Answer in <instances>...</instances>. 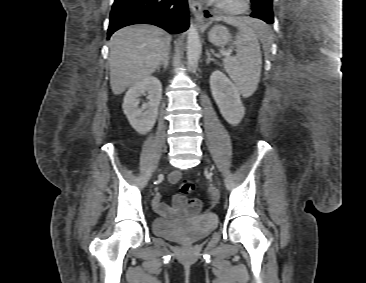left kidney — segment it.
<instances>
[{
    "label": "left kidney",
    "instance_id": "left-kidney-1",
    "mask_svg": "<svg viewBox=\"0 0 366 283\" xmlns=\"http://www.w3.org/2000/svg\"><path fill=\"white\" fill-rule=\"evenodd\" d=\"M210 88L224 119L234 126L237 125L245 114L237 87L224 73L216 70L210 76Z\"/></svg>",
    "mask_w": 366,
    "mask_h": 283
}]
</instances>
